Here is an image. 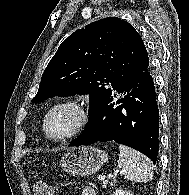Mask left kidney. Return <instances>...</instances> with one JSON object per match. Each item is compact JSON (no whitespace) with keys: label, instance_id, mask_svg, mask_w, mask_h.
<instances>
[{"label":"left kidney","instance_id":"5707ae66","mask_svg":"<svg viewBox=\"0 0 189 195\" xmlns=\"http://www.w3.org/2000/svg\"><path fill=\"white\" fill-rule=\"evenodd\" d=\"M113 195H133V194H131L130 192L125 191V190L117 189V190H115Z\"/></svg>","mask_w":189,"mask_h":195}]
</instances>
